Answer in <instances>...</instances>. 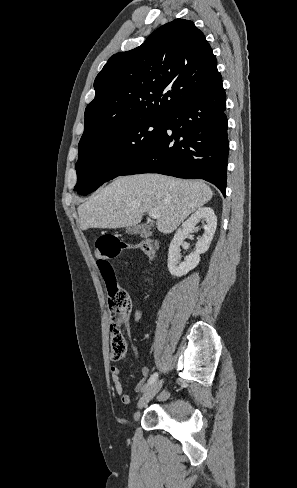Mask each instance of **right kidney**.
<instances>
[{
	"label": "right kidney",
	"mask_w": 297,
	"mask_h": 488,
	"mask_svg": "<svg viewBox=\"0 0 297 488\" xmlns=\"http://www.w3.org/2000/svg\"><path fill=\"white\" fill-rule=\"evenodd\" d=\"M205 221V232L198 239L194 253L185 257L184 262H179L180 244L185 237L195 230L198 222ZM217 227V217L210 207H202L196 210L178 229L169 247L168 270L171 275L181 277L194 269L200 262V255L205 253L212 242Z\"/></svg>",
	"instance_id": "obj_1"
}]
</instances>
